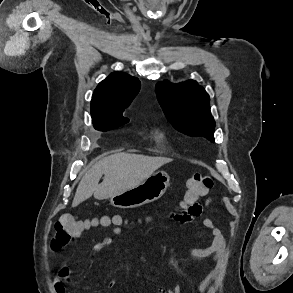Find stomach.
Listing matches in <instances>:
<instances>
[{"instance_id": "0dacf381", "label": "stomach", "mask_w": 293, "mask_h": 293, "mask_svg": "<svg viewBox=\"0 0 293 293\" xmlns=\"http://www.w3.org/2000/svg\"><path fill=\"white\" fill-rule=\"evenodd\" d=\"M170 177L166 172L153 173L138 186L111 197V204L117 208H136L161 198L167 190Z\"/></svg>"}]
</instances>
